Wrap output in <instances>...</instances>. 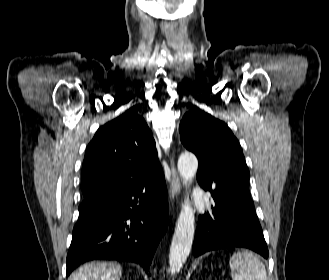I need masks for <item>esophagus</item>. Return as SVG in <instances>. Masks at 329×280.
I'll return each mask as SVG.
<instances>
[{
    "label": "esophagus",
    "mask_w": 329,
    "mask_h": 280,
    "mask_svg": "<svg viewBox=\"0 0 329 280\" xmlns=\"http://www.w3.org/2000/svg\"><path fill=\"white\" fill-rule=\"evenodd\" d=\"M181 191V181L180 177L176 171L173 157L171 158V184L169 189L170 199H174Z\"/></svg>",
    "instance_id": "obj_1"
}]
</instances>
